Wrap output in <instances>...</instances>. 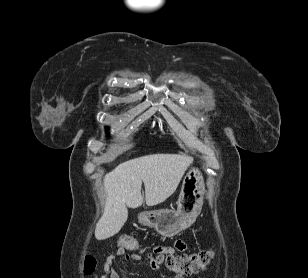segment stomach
I'll return each instance as SVG.
<instances>
[{"instance_id": "0dacf381", "label": "stomach", "mask_w": 308, "mask_h": 278, "mask_svg": "<svg viewBox=\"0 0 308 278\" xmlns=\"http://www.w3.org/2000/svg\"><path fill=\"white\" fill-rule=\"evenodd\" d=\"M205 194L202 173L192 168L185 175L175 210H152L138 215L140 224L152 227L163 237H172L190 227L199 215Z\"/></svg>"}]
</instances>
